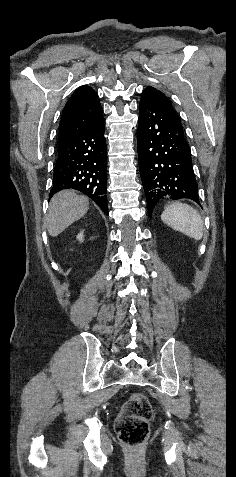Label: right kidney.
Instances as JSON below:
<instances>
[{
  "instance_id": "1",
  "label": "right kidney",
  "mask_w": 236,
  "mask_h": 477,
  "mask_svg": "<svg viewBox=\"0 0 236 477\" xmlns=\"http://www.w3.org/2000/svg\"><path fill=\"white\" fill-rule=\"evenodd\" d=\"M83 232H80L78 235H77V239L82 242L83 241Z\"/></svg>"
}]
</instances>
